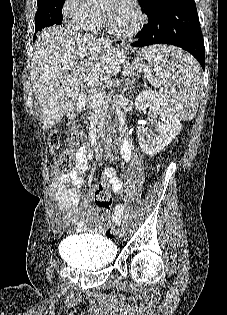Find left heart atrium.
I'll use <instances>...</instances> for the list:
<instances>
[{
    "instance_id": "obj_1",
    "label": "left heart atrium",
    "mask_w": 227,
    "mask_h": 315,
    "mask_svg": "<svg viewBox=\"0 0 227 315\" xmlns=\"http://www.w3.org/2000/svg\"><path fill=\"white\" fill-rule=\"evenodd\" d=\"M114 1V8L130 6L131 7V0H113Z\"/></svg>"
}]
</instances>
